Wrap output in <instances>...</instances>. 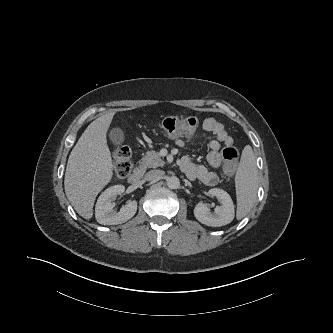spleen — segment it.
<instances>
[{
    "instance_id": "3e777b00",
    "label": "spleen",
    "mask_w": 333,
    "mask_h": 333,
    "mask_svg": "<svg viewBox=\"0 0 333 333\" xmlns=\"http://www.w3.org/2000/svg\"><path fill=\"white\" fill-rule=\"evenodd\" d=\"M237 197V218L242 219L254 206L257 197L258 181L255 156L251 146L242 151L241 160L235 175Z\"/></svg>"
}]
</instances>
